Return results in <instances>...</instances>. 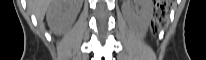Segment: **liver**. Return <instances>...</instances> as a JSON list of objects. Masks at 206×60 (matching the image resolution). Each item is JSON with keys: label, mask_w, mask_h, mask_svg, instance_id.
I'll list each match as a JSON object with an SVG mask.
<instances>
[{"label": "liver", "mask_w": 206, "mask_h": 60, "mask_svg": "<svg viewBox=\"0 0 206 60\" xmlns=\"http://www.w3.org/2000/svg\"><path fill=\"white\" fill-rule=\"evenodd\" d=\"M63 9V6H65ZM82 5V0H28L27 6L38 21H42L50 7L55 8L54 19L49 17L48 24L53 32L61 34L75 19Z\"/></svg>", "instance_id": "obj_1"}]
</instances>
